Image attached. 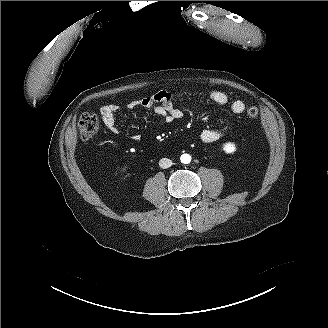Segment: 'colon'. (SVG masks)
<instances>
[{
	"instance_id": "1",
	"label": "colon",
	"mask_w": 328,
	"mask_h": 328,
	"mask_svg": "<svg viewBox=\"0 0 328 328\" xmlns=\"http://www.w3.org/2000/svg\"><path fill=\"white\" fill-rule=\"evenodd\" d=\"M259 114V110L255 106H251L247 109V116L249 118H256ZM78 127L82 139H90L99 128V120L96 115L91 113H84L80 116Z\"/></svg>"
}]
</instances>
